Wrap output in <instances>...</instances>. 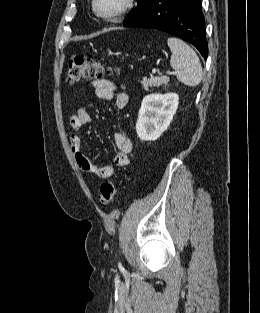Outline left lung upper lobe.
<instances>
[{"label": "left lung upper lobe", "instance_id": "obj_1", "mask_svg": "<svg viewBox=\"0 0 260 313\" xmlns=\"http://www.w3.org/2000/svg\"><path fill=\"white\" fill-rule=\"evenodd\" d=\"M151 0H138V6L137 8L132 11L131 13H129L124 21L126 22L127 20L133 18L134 16H136L139 12H141L150 2Z\"/></svg>", "mask_w": 260, "mask_h": 313}]
</instances>
